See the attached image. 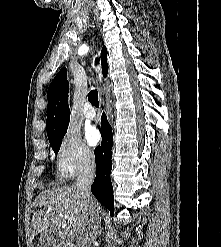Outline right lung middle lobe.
I'll use <instances>...</instances> for the list:
<instances>
[{
    "label": "right lung middle lobe",
    "mask_w": 221,
    "mask_h": 247,
    "mask_svg": "<svg viewBox=\"0 0 221 247\" xmlns=\"http://www.w3.org/2000/svg\"><path fill=\"white\" fill-rule=\"evenodd\" d=\"M66 131H67V129L64 130L62 133H60L57 136H54L52 138H48L54 153H58L60 146H61L62 138L64 137Z\"/></svg>",
    "instance_id": "right-lung-middle-lobe-1"
}]
</instances>
